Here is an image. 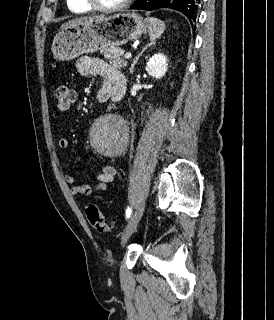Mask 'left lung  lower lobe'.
Listing matches in <instances>:
<instances>
[{"mask_svg": "<svg viewBox=\"0 0 274 320\" xmlns=\"http://www.w3.org/2000/svg\"><path fill=\"white\" fill-rule=\"evenodd\" d=\"M200 0H136L131 9L151 11L170 8L182 12L190 21L195 22Z\"/></svg>", "mask_w": 274, "mask_h": 320, "instance_id": "1", "label": "left lung lower lobe"}]
</instances>
